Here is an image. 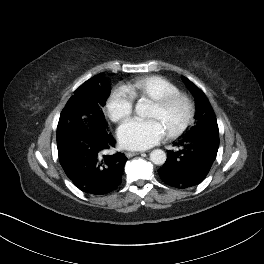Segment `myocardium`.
Segmentation results:
<instances>
[{
    "mask_svg": "<svg viewBox=\"0 0 264 264\" xmlns=\"http://www.w3.org/2000/svg\"><path fill=\"white\" fill-rule=\"evenodd\" d=\"M176 104H182L184 106L185 115L176 127L167 131V135L170 138H176L182 135L190 127L195 116L194 103L187 94L181 92H176L153 101V105H155L161 112L168 111Z\"/></svg>",
    "mask_w": 264,
    "mask_h": 264,
    "instance_id": "myocardium-1",
    "label": "myocardium"
}]
</instances>
